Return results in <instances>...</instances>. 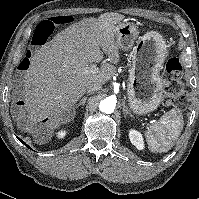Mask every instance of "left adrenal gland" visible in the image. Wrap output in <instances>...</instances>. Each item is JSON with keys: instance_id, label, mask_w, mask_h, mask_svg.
Here are the masks:
<instances>
[{"instance_id": "a2214340", "label": "left adrenal gland", "mask_w": 199, "mask_h": 199, "mask_svg": "<svg viewBox=\"0 0 199 199\" xmlns=\"http://www.w3.org/2000/svg\"><path fill=\"white\" fill-rule=\"evenodd\" d=\"M122 106H123V112L125 114V117L127 116V114H129V116H132L130 110L128 109L124 101L122 102Z\"/></svg>"}]
</instances>
